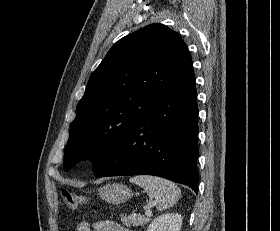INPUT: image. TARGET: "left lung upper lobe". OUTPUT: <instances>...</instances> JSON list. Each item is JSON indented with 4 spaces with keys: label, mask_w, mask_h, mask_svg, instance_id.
I'll use <instances>...</instances> for the list:
<instances>
[{
    "label": "left lung upper lobe",
    "mask_w": 280,
    "mask_h": 231,
    "mask_svg": "<svg viewBox=\"0 0 280 231\" xmlns=\"http://www.w3.org/2000/svg\"><path fill=\"white\" fill-rule=\"evenodd\" d=\"M193 73L186 44L163 24L120 39L91 74L77 105L64 169L88 158L98 171L115 144L167 91Z\"/></svg>",
    "instance_id": "obj_1"
}]
</instances>
